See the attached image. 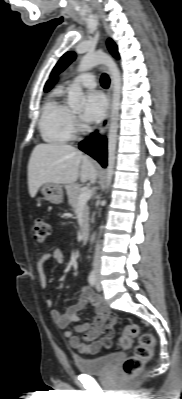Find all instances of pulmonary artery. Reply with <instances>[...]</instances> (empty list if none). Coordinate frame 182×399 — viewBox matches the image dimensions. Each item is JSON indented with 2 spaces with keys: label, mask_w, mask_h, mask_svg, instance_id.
Returning <instances> with one entry per match:
<instances>
[{
  "label": "pulmonary artery",
  "mask_w": 182,
  "mask_h": 399,
  "mask_svg": "<svg viewBox=\"0 0 182 399\" xmlns=\"http://www.w3.org/2000/svg\"><path fill=\"white\" fill-rule=\"evenodd\" d=\"M75 81L81 86L89 89L95 88L97 85V80L93 73L81 74L75 78Z\"/></svg>",
  "instance_id": "pulmonary-artery-1"
}]
</instances>
